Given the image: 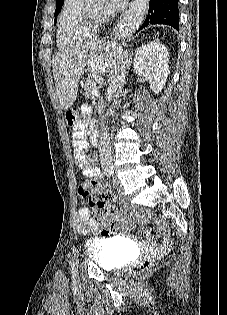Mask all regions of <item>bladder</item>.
<instances>
[{"label":"bladder","instance_id":"31cf9c89","mask_svg":"<svg viewBox=\"0 0 227 315\" xmlns=\"http://www.w3.org/2000/svg\"><path fill=\"white\" fill-rule=\"evenodd\" d=\"M84 252L88 260L103 270H114L124 265L128 248L117 238H90L85 242Z\"/></svg>","mask_w":227,"mask_h":315}]
</instances>
